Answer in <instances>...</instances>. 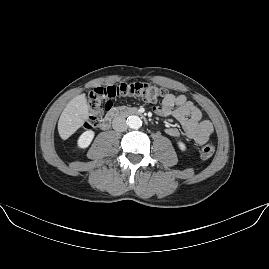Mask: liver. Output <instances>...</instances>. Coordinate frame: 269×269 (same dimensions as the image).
Wrapping results in <instances>:
<instances>
[{"label": "liver", "mask_w": 269, "mask_h": 269, "mask_svg": "<svg viewBox=\"0 0 269 269\" xmlns=\"http://www.w3.org/2000/svg\"><path fill=\"white\" fill-rule=\"evenodd\" d=\"M87 117V104L84 94L74 97L63 112L58 121V131L62 139H67L85 121Z\"/></svg>", "instance_id": "1"}]
</instances>
